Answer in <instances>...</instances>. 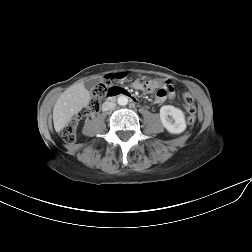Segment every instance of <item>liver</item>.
<instances>
[{"instance_id": "1", "label": "liver", "mask_w": 252, "mask_h": 252, "mask_svg": "<svg viewBox=\"0 0 252 252\" xmlns=\"http://www.w3.org/2000/svg\"><path fill=\"white\" fill-rule=\"evenodd\" d=\"M90 101V93L84 84L78 83L66 89L53 108V123L56 132L64 128L71 118Z\"/></svg>"}]
</instances>
